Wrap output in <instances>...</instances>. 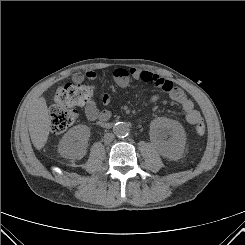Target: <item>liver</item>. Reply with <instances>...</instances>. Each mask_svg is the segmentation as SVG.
Instances as JSON below:
<instances>
[{
  "mask_svg": "<svg viewBox=\"0 0 245 245\" xmlns=\"http://www.w3.org/2000/svg\"><path fill=\"white\" fill-rule=\"evenodd\" d=\"M28 118L31 141L37 150H41L47 142L51 129L50 115L44 97L34 102Z\"/></svg>",
  "mask_w": 245,
  "mask_h": 245,
  "instance_id": "obj_1",
  "label": "liver"
}]
</instances>
